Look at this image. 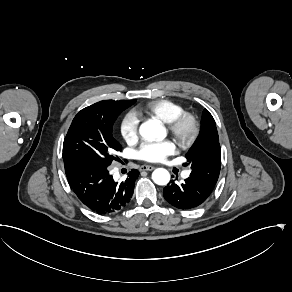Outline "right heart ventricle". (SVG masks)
<instances>
[{"mask_svg": "<svg viewBox=\"0 0 292 292\" xmlns=\"http://www.w3.org/2000/svg\"><path fill=\"white\" fill-rule=\"evenodd\" d=\"M142 111L158 117L162 122L169 124L180 113L183 112L182 107L168 99H156L147 102Z\"/></svg>", "mask_w": 292, "mask_h": 292, "instance_id": "1", "label": "right heart ventricle"}]
</instances>
